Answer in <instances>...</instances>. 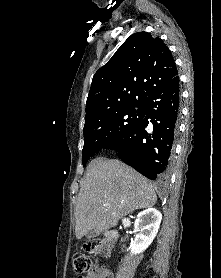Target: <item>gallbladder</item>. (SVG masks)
I'll return each instance as SVG.
<instances>
[{
	"instance_id": "obj_1",
	"label": "gallbladder",
	"mask_w": 221,
	"mask_h": 278,
	"mask_svg": "<svg viewBox=\"0 0 221 278\" xmlns=\"http://www.w3.org/2000/svg\"><path fill=\"white\" fill-rule=\"evenodd\" d=\"M96 236V233L94 231H89L87 234H86V238L87 239H92Z\"/></svg>"
}]
</instances>
